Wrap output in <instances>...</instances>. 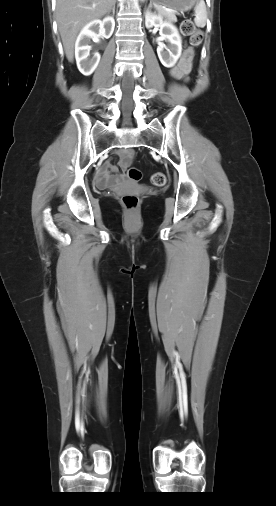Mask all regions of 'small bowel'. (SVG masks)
<instances>
[{
    "label": "small bowel",
    "mask_w": 276,
    "mask_h": 506,
    "mask_svg": "<svg viewBox=\"0 0 276 506\" xmlns=\"http://www.w3.org/2000/svg\"><path fill=\"white\" fill-rule=\"evenodd\" d=\"M191 61H192V49L187 48L182 55L179 63L170 70V74L176 79H185L188 73L191 70ZM135 151L133 149H123L119 152V167L122 171H125L133 157ZM106 171H101L98 173L95 184L99 189H106L108 187H114L118 185L123 179V175H117L118 168L111 164L106 163L105 165ZM109 172L115 174L114 176H110Z\"/></svg>",
    "instance_id": "obj_1"
}]
</instances>
